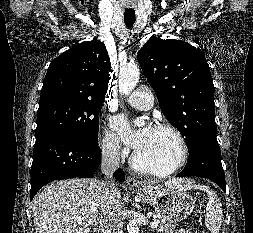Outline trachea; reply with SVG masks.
<instances>
[{"label":"trachea","mask_w":253,"mask_h":233,"mask_svg":"<svg viewBox=\"0 0 253 233\" xmlns=\"http://www.w3.org/2000/svg\"><path fill=\"white\" fill-rule=\"evenodd\" d=\"M124 22L127 27H132L133 24L135 23V12H125Z\"/></svg>","instance_id":"trachea-1"}]
</instances>
